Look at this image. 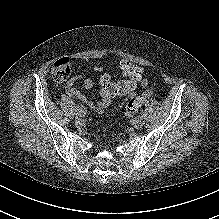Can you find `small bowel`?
I'll use <instances>...</instances> for the list:
<instances>
[{
  "mask_svg": "<svg viewBox=\"0 0 219 219\" xmlns=\"http://www.w3.org/2000/svg\"><path fill=\"white\" fill-rule=\"evenodd\" d=\"M82 75L81 74H77L74 75L65 85V92L67 95H69L70 97L76 98L82 102H84L85 104H87L88 106H90L92 109L97 110V111H101L103 110V100L100 101H93L91 99H89L88 97H86L83 93H81L78 89H76L74 87V83L81 79ZM94 85V82L92 79H85L84 80V86L87 89H91ZM140 85L142 88H145L148 85V81L145 78H142L140 81ZM152 92L149 89H146L144 91V95H148L151 96Z\"/></svg>",
  "mask_w": 219,
  "mask_h": 219,
  "instance_id": "small-bowel-1",
  "label": "small bowel"
}]
</instances>
